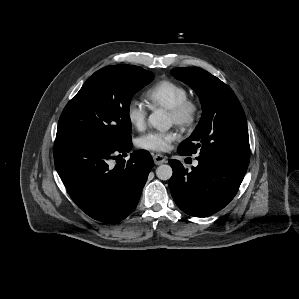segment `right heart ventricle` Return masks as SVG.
I'll return each instance as SVG.
<instances>
[{"label": "right heart ventricle", "instance_id": "e07e8e85", "mask_svg": "<svg viewBox=\"0 0 299 299\" xmlns=\"http://www.w3.org/2000/svg\"><path fill=\"white\" fill-rule=\"evenodd\" d=\"M145 96L151 106L170 110L188 98V91L183 85L166 79L150 87Z\"/></svg>", "mask_w": 299, "mask_h": 299}]
</instances>
